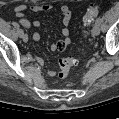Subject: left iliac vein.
<instances>
[{"label":"left iliac vein","instance_id":"1","mask_svg":"<svg viewBox=\"0 0 119 119\" xmlns=\"http://www.w3.org/2000/svg\"><path fill=\"white\" fill-rule=\"evenodd\" d=\"M100 34V24L95 23L92 29V35L93 36H98Z\"/></svg>","mask_w":119,"mask_h":119}]
</instances>
